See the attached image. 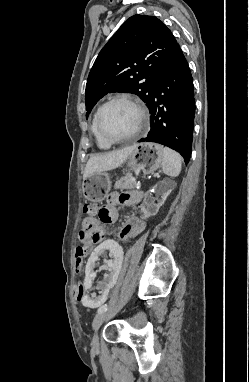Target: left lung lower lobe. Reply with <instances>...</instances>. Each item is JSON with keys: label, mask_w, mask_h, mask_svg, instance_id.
I'll use <instances>...</instances> for the list:
<instances>
[{"label": "left lung lower lobe", "mask_w": 249, "mask_h": 382, "mask_svg": "<svg viewBox=\"0 0 249 382\" xmlns=\"http://www.w3.org/2000/svg\"><path fill=\"white\" fill-rule=\"evenodd\" d=\"M151 129L139 142H155L179 152L186 163L192 152L195 98L192 75L180 46L162 71L148 103Z\"/></svg>", "instance_id": "obj_1"}]
</instances>
